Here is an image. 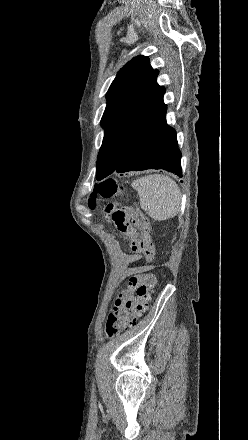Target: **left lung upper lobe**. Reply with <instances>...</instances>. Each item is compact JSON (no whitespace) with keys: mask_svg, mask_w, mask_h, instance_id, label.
<instances>
[{"mask_svg":"<svg viewBox=\"0 0 248 440\" xmlns=\"http://www.w3.org/2000/svg\"><path fill=\"white\" fill-rule=\"evenodd\" d=\"M157 76L145 56L133 58L116 75L106 94L100 123L105 133L97 159V180L110 175L131 148L166 122L165 89L157 84Z\"/></svg>","mask_w":248,"mask_h":440,"instance_id":"5c2ea615","label":"left lung upper lobe"}]
</instances>
